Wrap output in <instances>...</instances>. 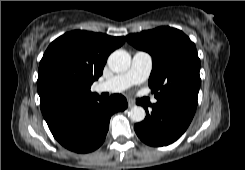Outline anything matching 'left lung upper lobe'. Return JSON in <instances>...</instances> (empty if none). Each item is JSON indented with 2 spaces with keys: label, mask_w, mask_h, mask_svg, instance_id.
<instances>
[{
  "label": "left lung upper lobe",
  "mask_w": 245,
  "mask_h": 170,
  "mask_svg": "<svg viewBox=\"0 0 245 170\" xmlns=\"http://www.w3.org/2000/svg\"><path fill=\"white\" fill-rule=\"evenodd\" d=\"M126 40L152 56L149 87L157 100H179L197 106L200 59L188 36L175 28L159 27L129 34Z\"/></svg>",
  "instance_id": "left-lung-upper-lobe-1"
}]
</instances>
